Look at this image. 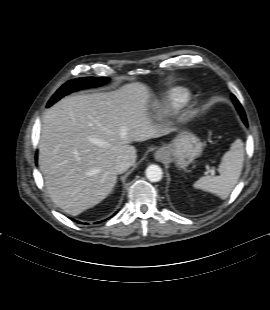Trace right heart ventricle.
Returning <instances> with one entry per match:
<instances>
[{"instance_id": "e07e8e85", "label": "right heart ventricle", "mask_w": 270, "mask_h": 310, "mask_svg": "<svg viewBox=\"0 0 270 310\" xmlns=\"http://www.w3.org/2000/svg\"><path fill=\"white\" fill-rule=\"evenodd\" d=\"M192 98L191 92L184 87H174L165 92L156 104L161 113H173L183 108Z\"/></svg>"}]
</instances>
